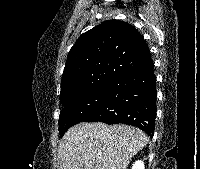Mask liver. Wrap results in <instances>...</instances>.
Instances as JSON below:
<instances>
[{"label":"liver","instance_id":"1","mask_svg":"<svg viewBox=\"0 0 200 169\" xmlns=\"http://www.w3.org/2000/svg\"><path fill=\"white\" fill-rule=\"evenodd\" d=\"M149 141L140 129L102 122L70 128L58 146L57 169H126Z\"/></svg>","mask_w":200,"mask_h":169}]
</instances>
